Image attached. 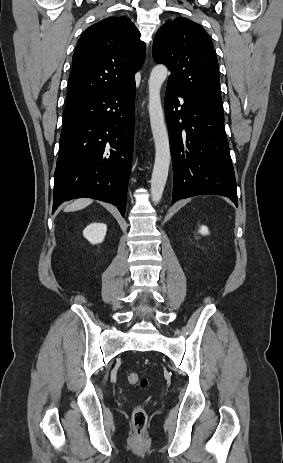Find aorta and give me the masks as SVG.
Wrapping results in <instances>:
<instances>
[{
    "label": "aorta",
    "mask_w": 283,
    "mask_h": 463,
    "mask_svg": "<svg viewBox=\"0 0 283 463\" xmlns=\"http://www.w3.org/2000/svg\"><path fill=\"white\" fill-rule=\"evenodd\" d=\"M167 74V67L159 64L152 69L148 80V111L155 144V162L151 178V195L154 203L160 202L162 198L171 160L169 137L160 98L161 86Z\"/></svg>",
    "instance_id": "aorta-1"
}]
</instances>
